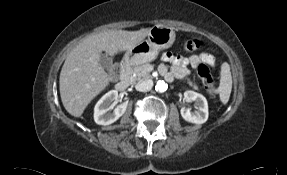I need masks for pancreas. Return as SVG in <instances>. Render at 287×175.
<instances>
[{"instance_id": "cf45deb5", "label": "pancreas", "mask_w": 287, "mask_h": 175, "mask_svg": "<svg viewBox=\"0 0 287 175\" xmlns=\"http://www.w3.org/2000/svg\"><path fill=\"white\" fill-rule=\"evenodd\" d=\"M148 67H149L148 63L135 66L131 71L132 81L134 82V81L150 78L151 75L149 71L147 70ZM188 84L192 86L194 89H198L197 85L193 83L190 79H188Z\"/></svg>"}]
</instances>
